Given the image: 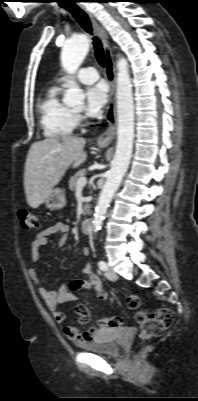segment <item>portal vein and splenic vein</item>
<instances>
[{"mask_svg":"<svg viewBox=\"0 0 198 401\" xmlns=\"http://www.w3.org/2000/svg\"><path fill=\"white\" fill-rule=\"evenodd\" d=\"M87 184V178L86 177H81L79 178L78 182H77V189L83 188L85 185Z\"/></svg>","mask_w":198,"mask_h":401,"instance_id":"18ae733b","label":"portal vein and splenic vein"}]
</instances>
